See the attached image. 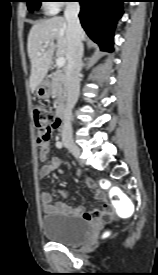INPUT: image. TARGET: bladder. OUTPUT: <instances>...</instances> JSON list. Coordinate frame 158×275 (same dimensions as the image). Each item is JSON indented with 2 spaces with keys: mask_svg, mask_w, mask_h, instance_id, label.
<instances>
[{
  "mask_svg": "<svg viewBox=\"0 0 158 275\" xmlns=\"http://www.w3.org/2000/svg\"><path fill=\"white\" fill-rule=\"evenodd\" d=\"M89 230V220L77 215L51 212L42 219L44 236L54 242L75 244L83 240Z\"/></svg>",
  "mask_w": 158,
  "mask_h": 275,
  "instance_id": "1",
  "label": "bladder"
}]
</instances>
